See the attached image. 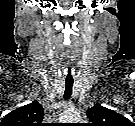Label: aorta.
<instances>
[{
	"instance_id": "obj_1",
	"label": "aorta",
	"mask_w": 135,
	"mask_h": 126,
	"mask_svg": "<svg viewBox=\"0 0 135 126\" xmlns=\"http://www.w3.org/2000/svg\"><path fill=\"white\" fill-rule=\"evenodd\" d=\"M74 119H75V120H78V117H75Z\"/></svg>"
}]
</instances>
